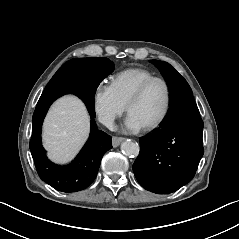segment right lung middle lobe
<instances>
[{"label": "right lung middle lobe", "instance_id": "1", "mask_svg": "<svg viewBox=\"0 0 239 239\" xmlns=\"http://www.w3.org/2000/svg\"><path fill=\"white\" fill-rule=\"evenodd\" d=\"M94 61L99 68L106 70L108 72H111L114 70V63L111 62L107 58H75L71 59L68 62H66L52 77L50 82L45 87L41 97L62 91L68 87H71L74 85L73 82L70 81L71 78H73L71 75L67 74V68L70 65H73L77 62L81 61Z\"/></svg>", "mask_w": 239, "mask_h": 239}]
</instances>
